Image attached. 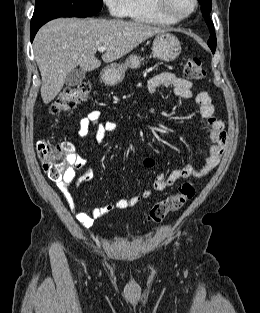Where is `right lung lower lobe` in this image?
<instances>
[{"mask_svg":"<svg viewBox=\"0 0 260 313\" xmlns=\"http://www.w3.org/2000/svg\"><path fill=\"white\" fill-rule=\"evenodd\" d=\"M58 18L55 15H46V16H37L32 18L31 20V41H33L35 34L37 33L38 29L44 25L46 22Z\"/></svg>","mask_w":260,"mask_h":313,"instance_id":"98d812e1","label":"right lung lower lobe"}]
</instances>
